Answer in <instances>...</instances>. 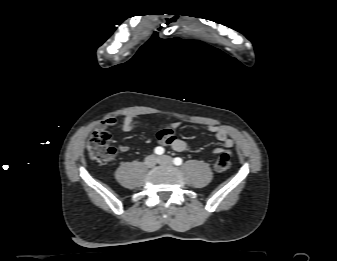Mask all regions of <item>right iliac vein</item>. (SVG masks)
Masks as SVG:
<instances>
[{
    "instance_id": "right-iliac-vein-1",
    "label": "right iliac vein",
    "mask_w": 337,
    "mask_h": 261,
    "mask_svg": "<svg viewBox=\"0 0 337 261\" xmlns=\"http://www.w3.org/2000/svg\"><path fill=\"white\" fill-rule=\"evenodd\" d=\"M156 163H157V158L155 155H149L145 158V165L148 168L154 167Z\"/></svg>"
}]
</instances>
